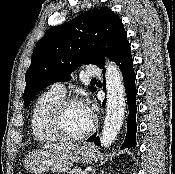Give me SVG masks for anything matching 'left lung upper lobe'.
Wrapping results in <instances>:
<instances>
[{
  "label": "left lung upper lobe",
  "mask_w": 175,
  "mask_h": 174,
  "mask_svg": "<svg viewBox=\"0 0 175 174\" xmlns=\"http://www.w3.org/2000/svg\"><path fill=\"white\" fill-rule=\"evenodd\" d=\"M128 44L121 19L107 7L91 9L50 29L36 45L25 74V107L50 84L71 80L70 74L82 64L103 68L105 57L115 61Z\"/></svg>",
  "instance_id": "1"
}]
</instances>
